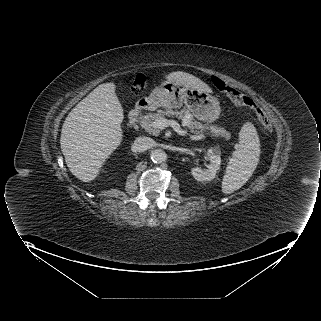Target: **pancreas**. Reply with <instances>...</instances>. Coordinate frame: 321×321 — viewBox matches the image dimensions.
Returning <instances> with one entry per match:
<instances>
[{"instance_id":"pancreas-1","label":"pancreas","mask_w":321,"mask_h":321,"mask_svg":"<svg viewBox=\"0 0 321 321\" xmlns=\"http://www.w3.org/2000/svg\"><path fill=\"white\" fill-rule=\"evenodd\" d=\"M177 117L183 121L185 127H187L192 133L196 135L208 134L211 133L213 136L218 137L222 136L225 139L230 138V133L227 132L224 128L217 127L215 125H203L200 122H197L193 115L182 109L181 111L167 109L166 111L158 110L157 113H149L141 119V126L150 134L154 136H158L160 134V130L158 128L153 127V122L160 118L165 117Z\"/></svg>"}]
</instances>
